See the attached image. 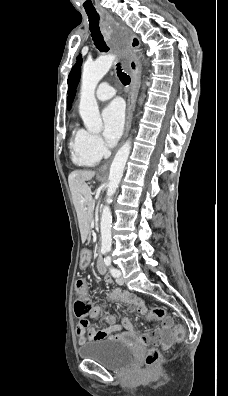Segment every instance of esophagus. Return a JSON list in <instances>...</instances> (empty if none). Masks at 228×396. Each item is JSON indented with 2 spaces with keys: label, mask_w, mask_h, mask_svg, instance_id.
<instances>
[{
  "label": "esophagus",
  "mask_w": 228,
  "mask_h": 396,
  "mask_svg": "<svg viewBox=\"0 0 228 396\" xmlns=\"http://www.w3.org/2000/svg\"><path fill=\"white\" fill-rule=\"evenodd\" d=\"M99 13L107 22L115 21V19L111 15V13H109L107 10L101 8V9H99ZM103 33L105 35L107 34L106 27L103 28ZM140 44H141L140 39L137 36L133 35L131 38V46H132V48L135 49L136 52L139 51ZM128 65H129V69H130L131 85H130V89L128 92V100H127L128 103H127L126 127H125V132H124V136H123L121 143L124 142V140L128 136L130 128H131L133 112L135 109V103H136V98H137L138 89H139V85H140V79H141V62H140L139 58L137 56H134L128 62ZM109 165H110V161H108L107 163L102 165L99 168V172L103 173V172L107 171V169L109 168Z\"/></svg>",
  "instance_id": "1"
}]
</instances>
